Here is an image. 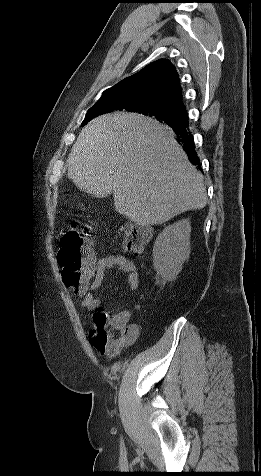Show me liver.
Instances as JSON below:
<instances>
[{
    "label": "liver",
    "instance_id": "liver-1",
    "mask_svg": "<svg viewBox=\"0 0 261 476\" xmlns=\"http://www.w3.org/2000/svg\"><path fill=\"white\" fill-rule=\"evenodd\" d=\"M68 178L96 197L113 193L118 213L141 226L158 225L207 203L203 175L172 130L136 113L94 118L80 132Z\"/></svg>",
    "mask_w": 261,
    "mask_h": 476
}]
</instances>
